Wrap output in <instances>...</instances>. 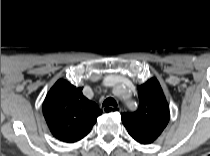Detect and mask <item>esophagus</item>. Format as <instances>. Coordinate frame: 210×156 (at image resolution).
<instances>
[{"mask_svg":"<svg viewBox=\"0 0 210 156\" xmlns=\"http://www.w3.org/2000/svg\"><path fill=\"white\" fill-rule=\"evenodd\" d=\"M112 108H113V107H111V106H105V107L103 108V111H104L105 113H110V112H112Z\"/></svg>","mask_w":210,"mask_h":156,"instance_id":"34e87169","label":"esophagus"}]
</instances>
